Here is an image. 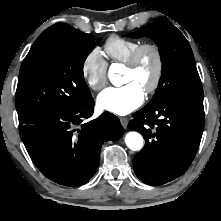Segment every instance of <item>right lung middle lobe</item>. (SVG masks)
<instances>
[{
	"mask_svg": "<svg viewBox=\"0 0 221 221\" xmlns=\"http://www.w3.org/2000/svg\"><path fill=\"white\" fill-rule=\"evenodd\" d=\"M95 47L94 38H54L32 47L22 62L15 105L19 123L42 113L78 108L92 96L83 65Z\"/></svg>",
	"mask_w": 221,
	"mask_h": 221,
	"instance_id": "right-lung-middle-lobe-1",
	"label": "right lung middle lobe"
}]
</instances>
